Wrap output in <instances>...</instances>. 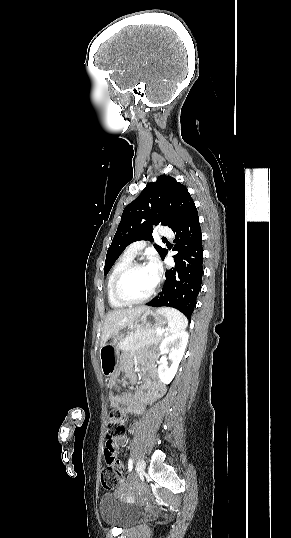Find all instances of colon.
Here are the masks:
<instances>
[{"instance_id":"5ec220e1","label":"colon","mask_w":291,"mask_h":538,"mask_svg":"<svg viewBox=\"0 0 291 538\" xmlns=\"http://www.w3.org/2000/svg\"><path fill=\"white\" fill-rule=\"evenodd\" d=\"M125 428L124 415L112 408L108 417L105 461L107 466L101 472V483L107 490L113 489L121 482L122 465L116 457V440L123 434Z\"/></svg>"}]
</instances>
